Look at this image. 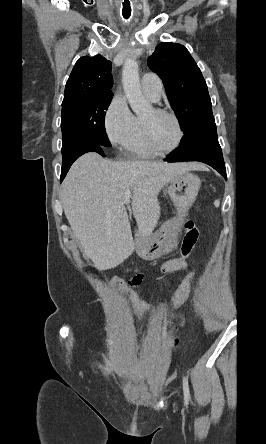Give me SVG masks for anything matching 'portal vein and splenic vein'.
Returning <instances> with one entry per match:
<instances>
[{"instance_id":"1","label":"portal vein and splenic vein","mask_w":266,"mask_h":444,"mask_svg":"<svg viewBox=\"0 0 266 444\" xmlns=\"http://www.w3.org/2000/svg\"><path fill=\"white\" fill-rule=\"evenodd\" d=\"M124 194H125V202L129 203L131 192L129 190H126Z\"/></svg>"}]
</instances>
